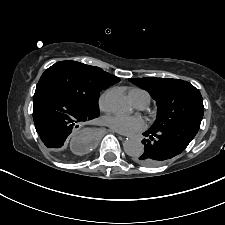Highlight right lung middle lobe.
<instances>
[{
	"label": "right lung middle lobe",
	"instance_id": "obj_1",
	"mask_svg": "<svg viewBox=\"0 0 225 225\" xmlns=\"http://www.w3.org/2000/svg\"><path fill=\"white\" fill-rule=\"evenodd\" d=\"M38 84H48L62 92L84 111L99 116L100 91L109 87L99 80L89 65L76 61H60L42 74Z\"/></svg>",
	"mask_w": 225,
	"mask_h": 225
}]
</instances>
